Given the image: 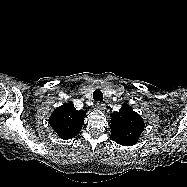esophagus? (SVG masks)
Segmentation results:
<instances>
[{"label":"esophagus","mask_w":187,"mask_h":187,"mask_svg":"<svg viewBox=\"0 0 187 187\" xmlns=\"http://www.w3.org/2000/svg\"><path fill=\"white\" fill-rule=\"evenodd\" d=\"M96 108L99 109V110H104L105 109V104H103L101 102H98L96 104Z\"/></svg>","instance_id":"34e87169"}]
</instances>
